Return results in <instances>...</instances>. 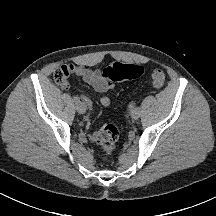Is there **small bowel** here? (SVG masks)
Instances as JSON below:
<instances>
[{"label": "small bowel", "mask_w": 216, "mask_h": 216, "mask_svg": "<svg viewBox=\"0 0 216 216\" xmlns=\"http://www.w3.org/2000/svg\"><path fill=\"white\" fill-rule=\"evenodd\" d=\"M71 68L76 76L81 78L84 83L91 86L96 91L104 93L110 88L105 83L100 69H91L84 66H71ZM80 98L85 105H87L89 108H92V102L87 96L81 95ZM110 103L111 99L108 96L104 95L100 98V104L102 106H109ZM87 123L90 126L89 118L87 119ZM95 134V131L91 132L90 137L92 140L95 139Z\"/></svg>", "instance_id": "c3829d8e"}]
</instances>
